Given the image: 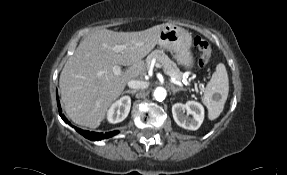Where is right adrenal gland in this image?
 Segmentation results:
<instances>
[{"label": "right adrenal gland", "mask_w": 287, "mask_h": 175, "mask_svg": "<svg viewBox=\"0 0 287 175\" xmlns=\"http://www.w3.org/2000/svg\"><path fill=\"white\" fill-rule=\"evenodd\" d=\"M123 93H131V94H135L136 90H126Z\"/></svg>", "instance_id": "1"}]
</instances>
